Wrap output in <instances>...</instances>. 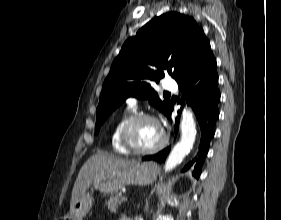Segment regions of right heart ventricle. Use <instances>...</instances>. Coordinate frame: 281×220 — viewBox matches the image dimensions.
<instances>
[{
    "label": "right heart ventricle",
    "mask_w": 281,
    "mask_h": 220,
    "mask_svg": "<svg viewBox=\"0 0 281 220\" xmlns=\"http://www.w3.org/2000/svg\"><path fill=\"white\" fill-rule=\"evenodd\" d=\"M134 116V110L129 108L127 109L114 123L113 128L110 134V144L111 149L114 153L119 155H129L128 152L120 142V131L123 125L132 117Z\"/></svg>",
    "instance_id": "right-heart-ventricle-1"
}]
</instances>
